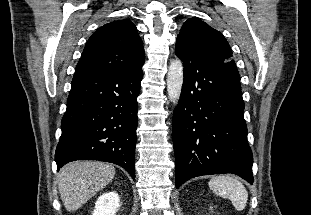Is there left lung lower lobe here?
Returning <instances> with one entry per match:
<instances>
[{
	"label": "left lung lower lobe",
	"instance_id": "0a47b994",
	"mask_svg": "<svg viewBox=\"0 0 311 215\" xmlns=\"http://www.w3.org/2000/svg\"><path fill=\"white\" fill-rule=\"evenodd\" d=\"M184 83L173 113L176 188L187 180L233 173L253 183L240 80L176 41Z\"/></svg>",
	"mask_w": 311,
	"mask_h": 215
}]
</instances>
